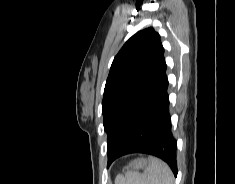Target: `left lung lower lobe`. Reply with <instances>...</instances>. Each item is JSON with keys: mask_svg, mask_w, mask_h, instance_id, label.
Masks as SVG:
<instances>
[{"mask_svg": "<svg viewBox=\"0 0 235 184\" xmlns=\"http://www.w3.org/2000/svg\"><path fill=\"white\" fill-rule=\"evenodd\" d=\"M166 68L164 59L152 93L139 112L129 138L108 167L122 155L145 153L161 158L177 176V142L171 132Z\"/></svg>", "mask_w": 235, "mask_h": 184, "instance_id": "left-lung-lower-lobe-1", "label": "left lung lower lobe"}]
</instances>
